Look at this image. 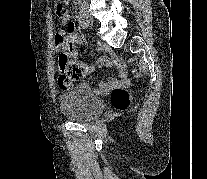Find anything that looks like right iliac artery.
Listing matches in <instances>:
<instances>
[{
  "instance_id": "right-iliac-artery-1",
  "label": "right iliac artery",
  "mask_w": 207,
  "mask_h": 179,
  "mask_svg": "<svg viewBox=\"0 0 207 179\" xmlns=\"http://www.w3.org/2000/svg\"><path fill=\"white\" fill-rule=\"evenodd\" d=\"M76 17H77V20H78L79 24L83 28H87L88 25H87V22L85 20L84 14H82V12H79Z\"/></svg>"
}]
</instances>
